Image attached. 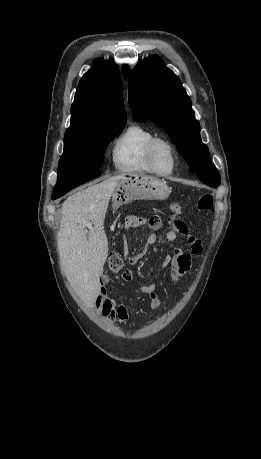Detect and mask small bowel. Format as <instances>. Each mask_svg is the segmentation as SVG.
Instances as JSON below:
<instances>
[{
  "label": "small bowel",
  "instance_id": "1",
  "mask_svg": "<svg viewBox=\"0 0 261 459\" xmlns=\"http://www.w3.org/2000/svg\"><path fill=\"white\" fill-rule=\"evenodd\" d=\"M146 220L138 216H128L123 224L125 230L137 228L145 225ZM179 236L184 237L189 246L191 247V254L184 253L180 249L176 248L171 255H167L162 267H170V275L174 283H177L191 268L192 254H197L201 251V242L188 230L187 226H181L178 222L171 223L167 231L163 236H158L155 233L149 234L147 237V246L157 244L160 241L172 242ZM147 252V247L144 253ZM131 262H135V259H131ZM121 278L125 282L133 280V274L130 270H125ZM110 282L108 275L101 277V284L104 286ZM140 291L145 293L148 297L149 304L152 309L159 310L161 308V300L155 292V285H140ZM97 306L101 311L102 315L110 321L118 320L122 324H126L129 319L128 307L124 303H118L112 299L106 292L105 288L102 287L98 293Z\"/></svg>",
  "mask_w": 261,
  "mask_h": 459
}]
</instances>
